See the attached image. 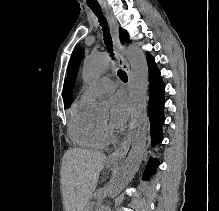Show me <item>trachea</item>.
<instances>
[{"instance_id":"obj_1","label":"trachea","mask_w":219,"mask_h":211,"mask_svg":"<svg viewBox=\"0 0 219 211\" xmlns=\"http://www.w3.org/2000/svg\"><path fill=\"white\" fill-rule=\"evenodd\" d=\"M94 14L97 16L100 26L102 27L104 43L108 52L110 53L111 57L114 56L113 54V47H112V39L110 35V30L106 18L104 17L100 5H88ZM119 78L124 81L125 83L128 81V76L125 71L119 70L118 71Z\"/></svg>"}]
</instances>
